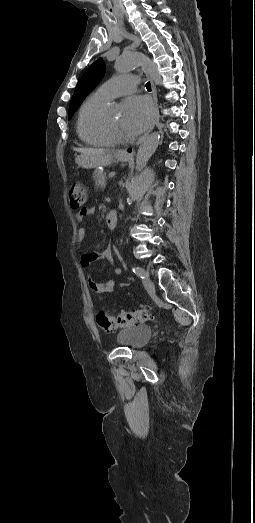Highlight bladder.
<instances>
[{
	"label": "bladder",
	"mask_w": 255,
	"mask_h": 523,
	"mask_svg": "<svg viewBox=\"0 0 255 523\" xmlns=\"http://www.w3.org/2000/svg\"><path fill=\"white\" fill-rule=\"evenodd\" d=\"M152 336V327L137 325L123 328L117 333L116 341L124 346L138 348L144 345Z\"/></svg>",
	"instance_id": "obj_1"
}]
</instances>
